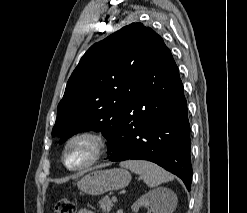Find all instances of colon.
<instances>
[{"label":"colon","mask_w":247,"mask_h":213,"mask_svg":"<svg viewBox=\"0 0 247 213\" xmlns=\"http://www.w3.org/2000/svg\"><path fill=\"white\" fill-rule=\"evenodd\" d=\"M75 206L72 201L68 199L59 200L54 208V213H74Z\"/></svg>","instance_id":"obj_1"}]
</instances>
